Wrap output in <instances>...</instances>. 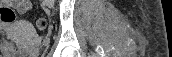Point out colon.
Returning <instances> with one entry per match:
<instances>
[{
    "instance_id": "obj_1",
    "label": "colon",
    "mask_w": 172,
    "mask_h": 57,
    "mask_svg": "<svg viewBox=\"0 0 172 57\" xmlns=\"http://www.w3.org/2000/svg\"><path fill=\"white\" fill-rule=\"evenodd\" d=\"M16 15L11 7H0V20L5 24H11L15 21ZM36 27L39 30H44L47 27V20L39 18L36 21Z\"/></svg>"
}]
</instances>
